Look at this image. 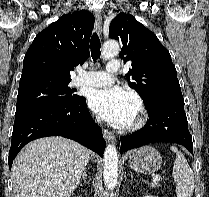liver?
Segmentation results:
<instances>
[{"mask_svg": "<svg viewBox=\"0 0 209 197\" xmlns=\"http://www.w3.org/2000/svg\"><path fill=\"white\" fill-rule=\"evenodd\" d=\"M90 156L84 146L60 136L28 143L12 167L17 197H70Z\"/></svg>", "mask_w": 209, "mask_h": 197, "instance_id": "liver-1", "label": "liver"}]
</instances>
